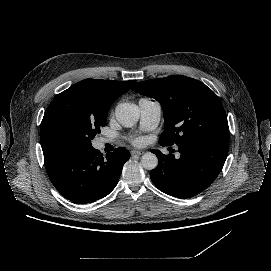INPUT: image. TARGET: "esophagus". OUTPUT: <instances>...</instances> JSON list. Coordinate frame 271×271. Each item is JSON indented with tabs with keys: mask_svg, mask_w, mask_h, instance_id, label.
Returning a JSON list of instances; mask_svg holds the SVG:
<instances>
[{
	"mask_svg": "<svg viewBox=\"0 0 271 271\" xmlns=\"http://www.w3.org/2000/svg\"><path fill=\"white\" fill-rule=\"evenodd\" d=\"M142 154H144V151H142V150H132L131 151V155H142Z\"/></svg>",
	"mask_w": 271,
	"mask_h": 271,
	"instance_id": "1",
	"label": "esophagus"
}]
</instances>
